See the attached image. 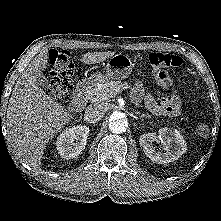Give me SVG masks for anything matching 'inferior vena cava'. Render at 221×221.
Returning <instances> with one entry per match:
<instances>
[{"mask_svg": "<svg viewBox=\"0 0 221 221\" xmlns=\"http://www.w3.org/2000/svg\"><path fill=\"white\" fill-rule=\"evenodd\" d=\"M107 111L105 104H94L86 108L84 119L89 123H96L103 118Z\"/></svg>", "mask_w": 221, "mask_h": 221, "instance_id": "inferior-vena-cava-1", "label": "inferior vena cava"}]
</instances>
